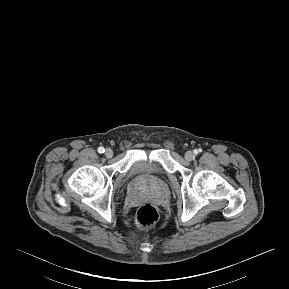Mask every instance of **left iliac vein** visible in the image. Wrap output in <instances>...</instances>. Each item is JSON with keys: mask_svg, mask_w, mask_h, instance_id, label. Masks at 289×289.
<instances>
[{"mask_svg": "<svg viewBox=\"0 0 289 289\" xmlns=\"http://www.w3.org/2000/svg\"><path fill=\"white\" fill-rule=\"evenodd\" d=\"M193 158H194V154H193L192 151H187V152L185 153V159H186L187 161H191V160H193Z\"/></svg>", "mask_w": 289, "mask_h": 289, "instance_id": "1", "label": "left iliac vein"}]
</instances>
